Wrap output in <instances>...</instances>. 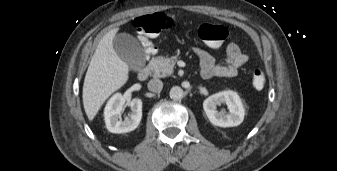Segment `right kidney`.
<instances>
[{
	"instance_id": "ca27d5eb",
	"label": "right kidney",
	"mask_w": 337,
	"mask_h": 171,
	"mask_svg": "<svg viewBox=\"0 0 337 171\" xmlns=\"http://www.w3.org/2000/svg\"><path fill=\"white\" fill-rule=\"evenodd\" d=\"M131 107V114L121 119V115L126 106ZM142 118V101L138 98L126 103L120 93L114 94L106 104L104 110V120L106 128L112 133H127L137 128Z\"/></svg>"
}]
</instances>
